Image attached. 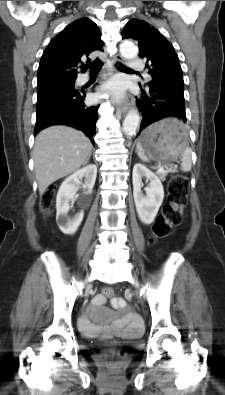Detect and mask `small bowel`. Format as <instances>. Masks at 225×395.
I'll use <instances>...</instances> for the list:
<instances>
[{
  "mask_svg": "<svg viewBox=\"0 0 225 395\" xmlns=\"http://www.w3.org/2000/svg\"><path fill=\"white\" fill-rule=\"evenodd\" d=\"M109 301L110 303H114V311H122V314L120 316H115L112 318L111 325L104 328L105 334L129 336L136 334L142 330V323L139 317L125 308L127 305L126 300H121L119 296H110ZM104 303V294L96 296L93 300L91 312L94 314H104L108 317L112 316L109 311L101 309ZM80 326L83 332L89 336L97 334L102 328L99 325L93 324L87 316L81 318Z\"/></svg>",
  "mask_w": 225,
  "mask_h": 395,
  "instance_id": "c3829d8e",
  "label": "small bowel"
}]
</instances>
